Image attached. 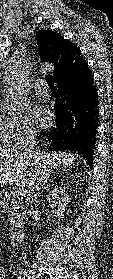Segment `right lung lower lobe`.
Listing matches in <instances>:
<instances>
[{
  "mask_svg": "<svg viewBox=\"0 0 113 279\" xmlns=\"http://www.w3.org/2000/svg\"><path fill=\"white\" fill-rule=\"evenodd\" d=\"M54 105L55 127L40 136L47 139L49 151L81 154L92 166L98 128V95L86 63L79 73L57 83Z\"/></svg>",
  "mask_w": 113,
  "mask_h": 279,
  "instance_id": "1",
  "label": "right lung lower lobe"
}]
</instances>
